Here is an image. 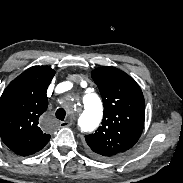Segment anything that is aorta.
Masks as SVG:
<instances>
[{
	"mask_svg": "<svg viewBox=\"0 0 183 183\" xmlns=\"http://www.w3.org/2000/svg\"><path fill=\"white\" fill-rule=\"evenodd\" d=\"M83 110L79 114L78 125L83 132L95 130L101 122L103 107L96 93H85L83 96Z\"/></svg>",
	"mask_w": 183,
	"mask_h": 183,
	"instance_id": "1",
	"label": "aorta"
}]
</instances>
